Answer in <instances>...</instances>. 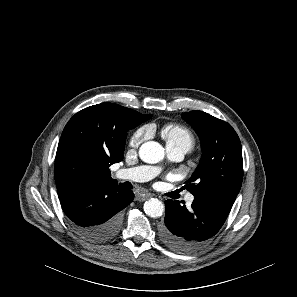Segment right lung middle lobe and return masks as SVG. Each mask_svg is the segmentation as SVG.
<instances>
[{
	"mask_svg": "<svg viewBox=\"0 0 297 297\" xmlns=\"http://www.w3.org/2000/svg\"><path fill=\"white\" fill-rule=\"evenodd\" d=\"M140 123H138V124H136V125H134L132 128H134L135 126H137V125H139Z\"/></svg>",
	"mask_w": 297,
	"mask_h": 297,
	"instance_id": "right-lung-middle-lobe-1",
	"label": "right lung middle lobe"
}]
</instances>
